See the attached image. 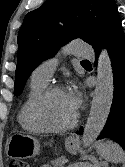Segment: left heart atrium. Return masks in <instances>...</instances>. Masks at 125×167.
<instances>
[{"label":"left heart atrium","instance_id":"39dd6f15","mask_svg":"<svg viewBox=\"0 0 125 167\" xmlns=\"http://www.w3.org/2000/svg\"><path fill=\"white\" fill-rule=\"evenodd\" d=\"M67 98L71 106L77 110L80 105V95L75 88H70L66 91Z\"/></svg>","mask_w":125,"mask_h":167}]
</instances>
